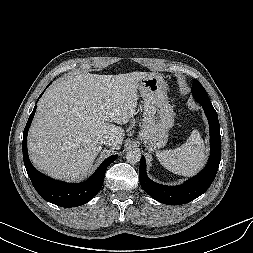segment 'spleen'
I'll use <instances>...</instances> for the list:
<instances>
[{
    "label": "spleen",
    "instance_id": "1",
    "mask_svg": "<svg viewBox=\"0 0 253 253\" xmlns=\"http://www.w3.org/2000/svg\"><path fill=\"white\" fill-rule=\"evenodd\" d=\"M156 156L161 165L169 171L189 177L204 165L206 150L199 131L193 130L182 146L172 150L159 151Z\"/></svg>",
    "mask_w": 253,
    "mask_h": 253
}]
</instances>
